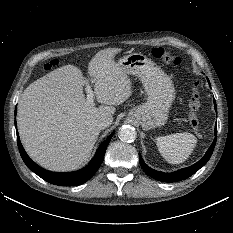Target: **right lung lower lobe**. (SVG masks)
<instances>
[{
  "label": "right lung lower lobe",
  "instance_id": "1",
  "mask_svg": "<svg viewBox=\"0 0 233 233\" xmlns=\"http://www.w3.org/2000/svg\"><path fill=\"white\" fill-rule=\"evenodd\" d=\"M16 110H15V115H16ZM15 126H16V123H15ZM113 134L114 132L104 142L101 143L95 156L92 158V160L90 161V163L87 165L86 168L75 171V172H71V173L50 172V171H47L39 167L36 163H34L29 158V156L25 152L20 142L18 132H17V144H18L19 152H20V155L23 161L25 162L27 167L31 171H33L35 174H37L39 177L55 185L75 186V185H80V184L85 183L96 173V171L98 170V168L100 167L103 161L107 145L110 139L112 138Z\"/></svg>",
  "mask_w": 233,
  "mask_h": 233
}]
</instances>
